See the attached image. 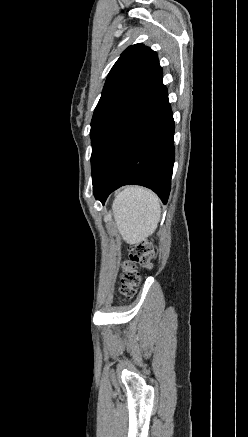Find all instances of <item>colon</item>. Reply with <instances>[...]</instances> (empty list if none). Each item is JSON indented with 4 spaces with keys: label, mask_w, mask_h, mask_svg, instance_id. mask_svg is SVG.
<instances>
[{
    "label": "colon",
    "mask_w": 248,
    "mask_h": 437,
    "mask_svg": "<svg viewBox=\"0 0 248 437\" xmlns=\"http://www.w3.org/2000/svg\"><path fill=\"white\" fill-rule=\"evenodd\" d=\"M154 257V249L149 241L139 242L130 249L129 258L123 264L121 296L130 298L134 295L135 289L140 282V275L136 270V265L150 267Z\"/></svg>",
    "instance_id": "colon-1"
}]
</instances>
